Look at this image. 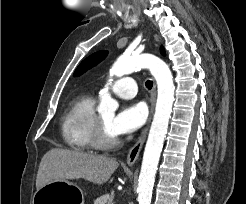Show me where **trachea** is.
<instances>
[{"label":"trachea","mask_w":246,"mask_h":204,"mask_svg":"<svg viewBox=\"0 0 246 204\" xmlns=\"http://www.w3.org/2000/svg\"><path fill=\"white\" fill-rule=\"evenodd\" d=\"M145 85H146V87H147L148 89H151L152 86H153V81L147 80L146 83H145Z\"/></svg>","instance_id":"trachea-1"}]
</instances>
